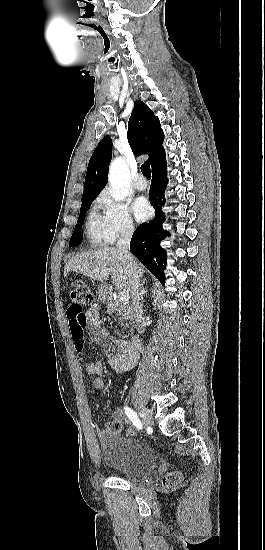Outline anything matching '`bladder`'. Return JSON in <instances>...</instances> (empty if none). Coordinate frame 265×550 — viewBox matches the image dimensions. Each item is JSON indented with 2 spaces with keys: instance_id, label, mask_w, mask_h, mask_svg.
<instances>
[{
  "instance_id": "bladder-1",
  "label": "bladder",
  "mask_w": 265,
  "mask_h": 550,
  "mask_svg": "<svg viewBox=\"0 0 265 550\" xmlns=\"http://www.w3.org/2000/svg\"><path fill=\"white\" fill-rule=\"evenodd\" d=\"M100 457L107 467L128 480L147 476L157 467L154 451L133 439L113 440L101 447Z\"/></svg>"
}]
</instances>
